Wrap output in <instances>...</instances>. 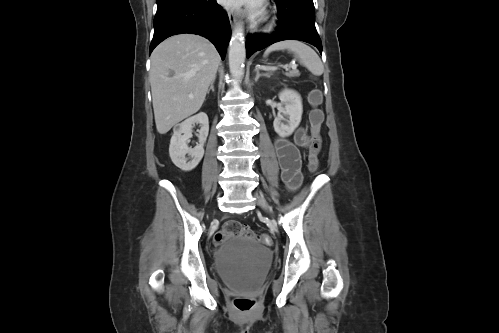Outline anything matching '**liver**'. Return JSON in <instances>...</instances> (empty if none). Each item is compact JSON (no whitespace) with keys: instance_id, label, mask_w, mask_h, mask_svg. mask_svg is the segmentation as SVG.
<instances>
[{"instance_id":"1","label":"liver","mask_w":499,"mask_h":333,"mask_svg":"<svg viewBox=\"0 0 499 333\" xmlns=\"http://www.w3.org/2000/svg\"><path fill=\"white\" fill-rule=\"evenodd\" d=\"M219 63L214 45L198 35H175L154 49L149 78L160 134L199 111Z\"/></svg>"}]
</instances>
